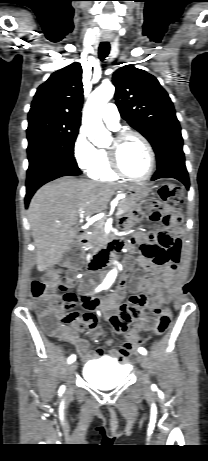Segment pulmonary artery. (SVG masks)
I'll return each instance as SVG.
<instances>
[{
    "mask_svg": "<svg viewBox=\"0 0 208 461\" xmlns=\"http://www.w3.org/2000/svg\"><path fill=\"white\" fill-rule=\"evenodd\" d=\"M102 118L104 122L113 130H117L119 128V112L117 107L109 103L105 105L102 110Z\"/></svg>",
    "mask_w": 208,
    "mask_h": 461,
    "instance_id": "pulmonary-artery-1",
    "label": "pulmonary artery"
}]
</instances>
